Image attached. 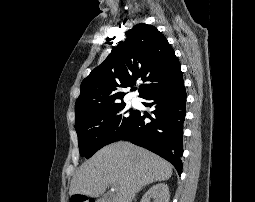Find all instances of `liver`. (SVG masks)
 <instances>
[{
  "label": "liver",
  "instance_id": "6515ba94",
  "mask_svg": "<svg viewBox=\"0 0 255 202\" xmlns=\"http://www.w3.org/2000/svg\"><path fill=\"white\" fill-rule=\"evenodd\" d=\"M172 165L154 153L129 142L107 145L84 162L71 180L70 195L98 197L108 185L116 195L113 202H132L144 186L168 180Z\"/></svg>",
  "mask_w": 255,
  "mask_h": 202
}]
</instances>
